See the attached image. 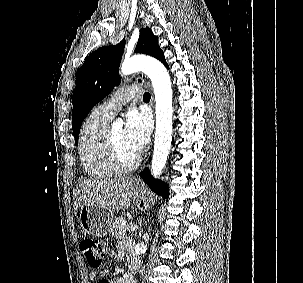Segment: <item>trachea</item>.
I'll return each instance as SVG.
<instances>
[{
    "label": "trachea",
    "instance_id": "obj_1",
    "mask_svg": "<svg viewBox=\"0 0 303 283\" xmlns=\"http://www.w3.org/2000/svg\"><path fill=\"white\" fill-rule=\"evenodd\" d=\"M151 96L148 92H145L143 95V100H150Z\"/></svg>",
    "mask_w": 303,
    "mask_h": 283
}]
</instances>
